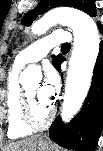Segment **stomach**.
Here are the masks:
<instances>
[{"instance_id": "1", "label": "stomach", "mask_w": 103, "mask_h": 151, "mask_svg": "<svg viewBox=\"0 0 103 151\" xmlns=\"http://www.w3.org/2000/svg\"><path fill=\"white\" fill-rule=\"evenodd\" d=\"M35 151H51V144L44 138H39Z\"/></svg>"}]
</instances>
